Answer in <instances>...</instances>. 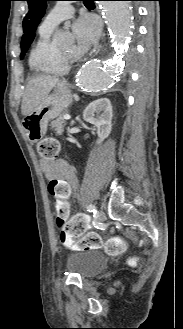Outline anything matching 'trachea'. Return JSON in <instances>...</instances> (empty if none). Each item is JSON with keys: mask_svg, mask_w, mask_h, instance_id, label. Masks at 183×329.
I'll return each instance as SVG.
<instances>
[{"mask_svg": "<svg viewBox=\"0 0 183 329\" xmlns=\"http://www.w3.org/2000/svg\"><path fill=\"white\" fill-rule=\"evenodd\" d=\"M84 1L85 5H91L92 4V0H82Z\"/></svg>", "mask_w": 183, "mask_h": 329, "instance_id": "3493384b", "label": "trachea"}]
</instances>
